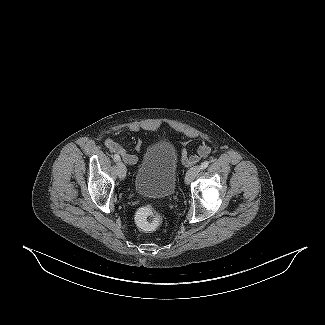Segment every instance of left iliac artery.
<instances>
[{
	"instance_id": "1",
	"label": "left iliac artery",
	"mask_w": 325,
	"mask_h": 325,
	"mask_svg": "<svg viewBox=\"0 0 325 325\" xmlns=\"http://www.w3.org/2000/svg\"><path fill=\"white\" fill-rule=\"evenodd\" d=\"M208 165H209V161H204L203 163H201L200 167L201 169H205L208 167Z\"/></svg>"
}]
</instances>
